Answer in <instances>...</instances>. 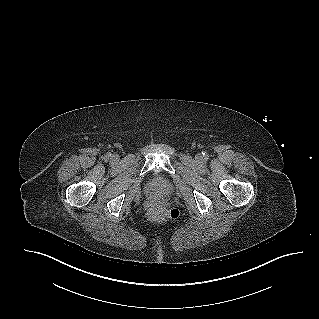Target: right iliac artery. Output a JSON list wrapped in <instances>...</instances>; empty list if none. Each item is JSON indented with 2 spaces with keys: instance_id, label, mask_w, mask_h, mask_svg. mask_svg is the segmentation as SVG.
Instances as JSON below:
<instances>
[{
  "instance_id": "right-iliac-artery-1",
  "label": "right iliac artery",
  "mask_w": 319,
  "mask_h": 319,
  "mask_svg": "<svg viewBox=\"0 0 319 319\" xmlns=\"http://www.w3.org/2000/svg\"><path fill=\"white\" fill-rule=\"evenodd\" d=\"M110 156H111V154H110V153H108V154H107V158H109Z\"/></svg>"
}]
</instances>
